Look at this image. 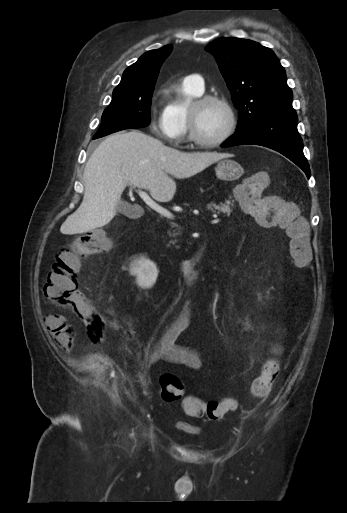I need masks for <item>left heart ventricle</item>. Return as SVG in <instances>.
<instances>
[{
    "instance_id": "obj_1",
    "label": "left heart ventricle",
    "mask_w": 347,
    "mask_h": 513,
    "mask_svg": "<svg viewBox=\"0 0 347 513\" xmlns=\"http://www.w3.org/2000/svg\"><path fill=\"white\" fill-rule=\"evenodd\" d=\"M194 120L199 136L205 140L220 137L228 125L227 112L217 103H208L196 108Z\"/></svg>"
}]
</instances>
